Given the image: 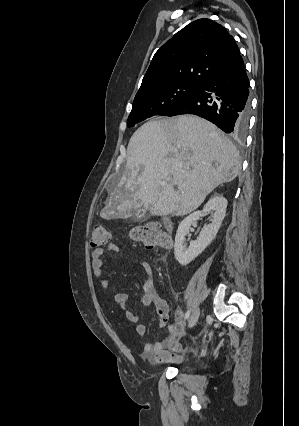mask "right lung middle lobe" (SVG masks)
<instances>
[{"mask_svg": "<svg viewBox=\"0 0 299 426\" xmlns=\"http://www.w3.org/2000/svg\"><path fill=\"white\" fill-rule=\"evenodd\" d=\"M199 87L194 84L176 83L143 93L134 99L127 126L133 127L136 123L154 115L165 116Z\"/></svg>", "mask_w": 299, "mask_h": 426, "instance_id": "right-lung-middle-lobe-1", "label": "right lung middle lobe"}]
</instances>
